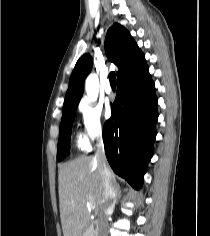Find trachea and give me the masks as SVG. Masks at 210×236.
<instances>
[{"instance_id":"trachea-1","label":"trachea","mask_w":210,"mask_h":236,"mask_svg":"<svg viewBox=\"0 0 210 236\" xmlns=\"http://www.w3.org/2000/svg\"><path fill=\"white\" fill-rule=\"evenodd\" d=\"M109 81H110L111 87L115 88L116 87V75H115V72H110V74H109Z\"/></svg>"}]
</instances>
